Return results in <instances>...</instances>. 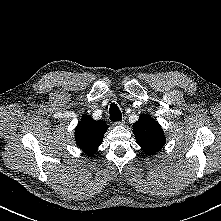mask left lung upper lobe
<instances>
[{
    "mask_svg": "<svg viewBox=\"0 0 221 221\" xmlns=\"http://www.w3.org/2000/svg\"><path fill=\"white\" fill-rule=\"evenodd\" d=\"M136 142L148 155H153L165 145V135L160 124L149 115H141L133 124Z\"/></svg>",
    "mask_w": 221,
    "mask_h": 221,
    "instance_id": "left-lung-upper-lobe-1",
    "label": "left lung upper lobe"
}]
</instances>
